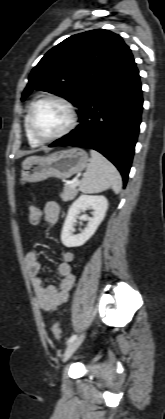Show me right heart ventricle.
Here are the masks:
<instances>
[{
	"label": "right heart ventricle",
	"instance_id": "obj_1",
	"mask_svg": "<svg viewBox=\"0 0 165 419\" xmlns=\"http://www.w3.org/2000/svg\"><path fill=\"white\" fill-rule=\"evenodd\" d=\"M24 128H25V133H26V137H27V140H28L29 144L31 146H34V147L35 146H38L39 143L32 137V135L30 134V132L28 130V126H27V115L25 116V119H24Z\"/></svg>",
	"mask_w": 165,
	"mask_h": 419
}]
</instances>
